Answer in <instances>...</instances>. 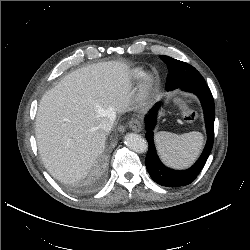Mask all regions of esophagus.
I'll return each instance as SVG.
<instances>
[{
    "label": "esophagus",
    "instance_id": "34e87169",
    "mask_svg": "<svg viewBox=\"0 0 250 250\" xmlns=\"http://www.w3.org/2000/svg\"><path fill=\"white\" fill-rule=\"evenodd\" d=\"M129 127L134 131V132H140L142 130V124L138 119H132L129 122ZM121 131V128H120Z\"/></svg>",
    "mask_w": 250,
    "mask_h": 250
}]
</instances>
